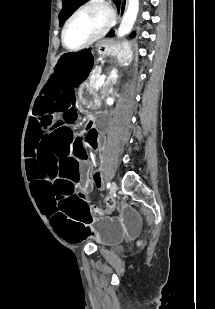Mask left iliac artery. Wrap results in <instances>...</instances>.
Wrapping results in <instances>:
<instances>
[{"label": "left iliac artery", "mask_w": 215, "mask_h": 309, "mask_svg": "<svg viewBox=\"0 0 215 309\" xmlns=\"http://www.w3.org/2000/svg\"><path fill=\"white\" fill-rule=\"evenodd\" d=\"M106 187H107V189L110 188V183L109 182L106 184Z\"/></svg>", "instance_id": "obj_1"}]
</instances>
